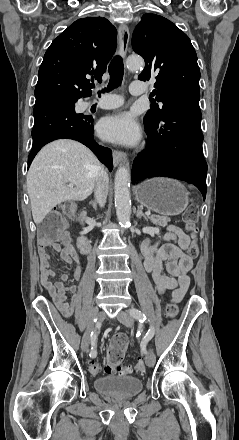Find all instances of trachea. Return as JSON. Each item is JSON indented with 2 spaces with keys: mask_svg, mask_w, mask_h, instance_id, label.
<instances>
[{
  "mask_svg": "<svg viewBox=\"0 0 239 440\" xmlns=\"http://www.w3.org/2000/svg\"><path fill=\"white\" fill-rule=\"evenodd\" d=\"M108 71L110 75L108 87L98 92L99 97L101 96V93H105L106 91H111L114 88H118L121 86L124 75V64L121 56H115L112 59ZM94 87H95L94 84L90 85V88H94Z\"/></svg>",
  "mask_w": 239,
  "mask_h": 440,
  "instance_id": "1",
  "label": "trachea"
}]
</instances>
